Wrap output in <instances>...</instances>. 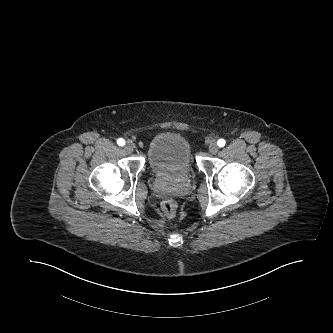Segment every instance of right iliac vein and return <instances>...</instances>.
<instances>
[{
	"instance_id": "1",
	"label": "right iliac vein",
	"mask_w": 333,
	"mask_h": 333,
	"mask_svg": "<svg viewBox=\"0 0 333 333\" xmlns=\"http://www.w3.org/2000/svg\"><path fill=\"white\" fill-rule=\"evenodd\" d=\"M124 150L127 152V153H132L134 151V144L132 142H127L124 146Z\"/></svg>"
}]
</instances>
